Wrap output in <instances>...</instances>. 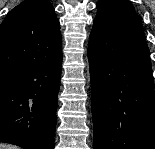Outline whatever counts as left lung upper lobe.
<instances>
[{"instance_id":"obj_1","label":"left lung upper lobe","mask_w":155,"mask_h":149,"mask_svg":"<svg viewBox=\"0 0 155 149\" xmlns=\"http://www.w3.org/2000/svg\"><path fill=\"white\" fill-rule=\"evenodd\" d=\"M97 8L93 26H107L129 18L141 19L128 0H100L97 2Z\"/></svg>"}]
</instances>
